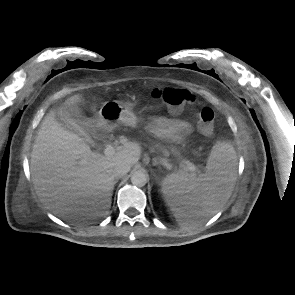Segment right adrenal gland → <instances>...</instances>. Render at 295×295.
Here are the masks:
<instances>
[{
  "label": "right adrenal gland",
  "instance_id": "1",
  "mask_svg": "<svg viewBox=\"0 0 295 295\" xmlns=\"http://www.w3.org/2000/svg\"><path fill=\"white\" fill-rule=\"evenodd\" d=\"M117 181H118V179H116V180L114 181V183L116 184V183H117Z\"/></svg>",
  "mask_w": 295,
  "mask_h": 295
}]
</instances>
